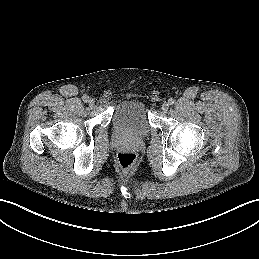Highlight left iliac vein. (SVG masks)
<instances>
[{
  "label": "left iliac vein",
  "mask_w": 259,
  "mask_h": 259,
  "mask_svg": "<svg viewBox=\"0 0 259 259\" xmlns=\"http://www.w3.org/2000/svg\"><path fill=\"white\" fill-rule=\"evenodd\" d=\"M168 108H169V103H168V102H164V103L162 104V107H161L162 111H163V112H167V111H168Z\"/></svg>",
  "instance_id": "left-iliac-vein-1"
}]
</instances>
